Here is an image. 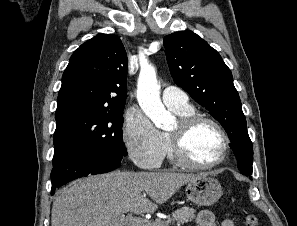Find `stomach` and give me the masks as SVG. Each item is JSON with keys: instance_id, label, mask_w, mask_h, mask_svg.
<instances>
[{"instance_id": "obj_1", "label": "stomach", "mask_w": 297, "mask_h": 226, "mask_svg": "<svg viewBox=\"0 0 297 226\" xmlns=\"http://www.w3.org/2000/svg\"><path fill=\"white\" fill-rule=\"evenodd\" d=\"M185 191L187 198L198 206H210L222 195L219 181L207 175L189 181Z\"/></svg>"}]
</instances>
